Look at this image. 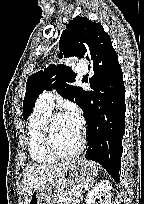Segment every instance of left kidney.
<instances>
[{
  "label": "left kidney",
  "instance_id": "5707ae66",
  "mask_svg": "<svg viewBox=\"0 0 144 204\" xmlns=\"http://www.w3.org/2000/svg\"><path fill=\"white\" fill-rule=\"evenodd\" d=\"M111 189L112 185L109 180L100 181L88 193L86 204H111Z\"/></svg>",
  "mask_w": 144,
  "mask_h": 204
}]
</instances>
